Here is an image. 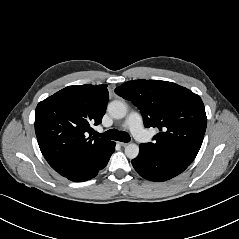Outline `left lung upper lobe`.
I'll return each mask as SVG.
<instances>
[{"label": "left lung upper lobe", "instance_id": "left-lung-upper-lobe-1", "mask_svg": "<svg viewBox=\"0 0 239 239\" xmlns=\"http://www.w3.org/2000/svg\"><path fill=\"white\" fill-rule=\"evenodd\" d=\"M140 110L146 127L160 132L148 151L189 166L201 147L207 117L201 98L185 87L159 80L129 81L115 89Z\"/></svg>", "mask_w": 239, "mask_h": 239}]
</instances>
